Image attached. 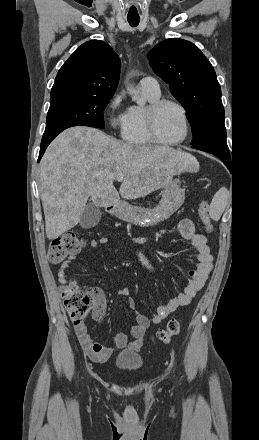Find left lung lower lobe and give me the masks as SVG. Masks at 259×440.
<instances>
[{"instance_id":"left-lung-lower-lobe-1","label":"left lung lower lobe","mask_w":259,"mask_h":440,"mask_svg":"<svg viewBox=\"0 0 259 440\" xmlns=\"http://www.w3.org/2000/svg\"><path fill=\"white\" fill-rule=\"evenodd\" d=\"M195 149L209 152L211 154H214L217 156L222 162L230 168L231 166V158H230V151L227 146L226 140H212L208 142H204L198 145L192 146Z\"/></svg>"}]
</instances>
